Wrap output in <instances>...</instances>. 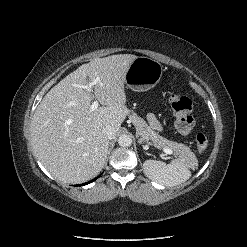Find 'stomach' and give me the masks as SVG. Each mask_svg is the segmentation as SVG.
Segmentation results:
<instances>
[{
  "mask_svg": "<svg viewBox=\"0 0 247 247\" xmlns=\"http://www.w3.org/2000/svg\"><path fill=\"white\" fill-rule=\"evenodd\" d=\"M162 71L163 66L158 61L145 56L137 57L129 66L125 84L136 92L147 91L159 83Z\"/></svg>",
  "mask_w": 247,
  "mask_h": 247,
  "instance_id": "1",
  "label": "stomach"
}]
</instances>
